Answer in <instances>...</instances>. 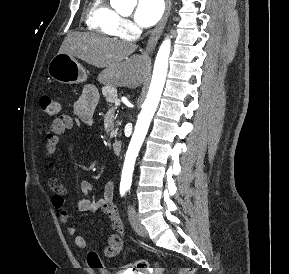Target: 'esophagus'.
I'll use <instances>...</instances> for the list:
<instances>
[{
	"label": "esophagus",
	"mask_w": 289,
	"mask_h": 274,
	"mask_svg": "<svg viewBox=\"0 0 289 274\" xmlns=\"http://www.w3.org/2000/svg\"><path fill=\"white\" fill-rule=\"evenodd\" d=\"M171 10V0H165V12L164 15L162 16L160 22L157 24V26L153 29L147 44H146V52L151 53L158 42V39L160 38L162 31L166 25L169 13Z\"/></svg>",
	"instance_id": "34e87169"
}]
</instances>
